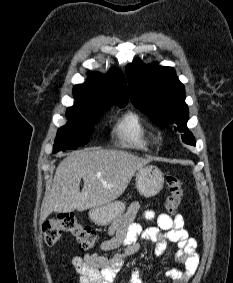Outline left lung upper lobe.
I'll list each match as a JSON object with an SVG mask.
<instances>
[{"label": "left lung upper lobe", "mask_w": 233, "mask_h": 283, "mask_svg": "<svg viewBox=\"0 0 233 283\" xmlns=\"http://www.w3.org/2000/svg\"><path fill=\"white\" fill-rule=\"evenodd\" d=\"M132 103L159 126L177 125L175 131L184 132L182 141L195 145L188 130V106L184 85L171 67L156 63L145 66L140 60L126 67Z\"/></svg>", "instance_id": "left-lung-upper-lobe-1"}]
</instances>
